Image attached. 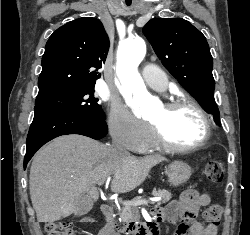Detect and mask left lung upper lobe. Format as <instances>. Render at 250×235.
I'll return each mask as SVG.
<instances>
[{
    "mask_svg": "<svg viewBox=\"0 0 250 235\" xmlns=\"http://www.w3.org/2000/svg\"><path fill=\"white\" fill-rule=\"evenodd\" d=\"M143 33L166 69L220 124L213 60L205 36L182 18L150 20Z\"/></svg>",
    "mask_w": 250,
    "mask_h": 235,
    "instance_id": "left-lung-upper-lobe-1",
    "label": "left lung upper lobe"
}]
</instances>
